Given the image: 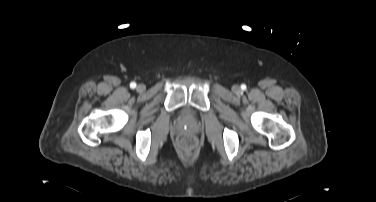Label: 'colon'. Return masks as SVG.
I'll use <instances>...</instances> for the list:
<instances>
[{"instance_id":"obj_1","label":"colon","mask_w":376,"mask_h":202,"mask_svg":"<svg viewBox=\"0 0 376 202\" xmlns=\"http://www.w3.org/2000/svg\"><path fill=\"white\" fill-rule=\"evenodd\" d=\"M177 143L181 148L190 150L196 146L197 140L193 135L183 133L178 136Z\"/></svg>"}]
</instances>
